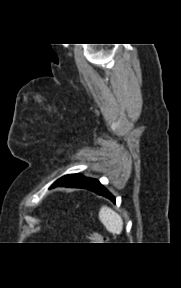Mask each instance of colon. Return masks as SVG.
Listing matches in <instances>:
<instances>
[{
    "label": "colon",
    "instance_id": "obj_1",
    "mask_svg": "<svg viewBox=\"0 0 181 288\" xmlns=\"http://www.w3.org/2000/svg\"><path fill=\"white\" fill-rule=\"evenodd\" d=\"M88 238L91 240H97L99 238V235L96 232H90L88 233Z\"/></svg>",
    "mask_w": 181,
    "mask_h": 288
}]
</instances>
